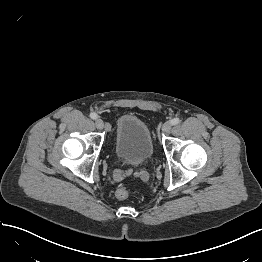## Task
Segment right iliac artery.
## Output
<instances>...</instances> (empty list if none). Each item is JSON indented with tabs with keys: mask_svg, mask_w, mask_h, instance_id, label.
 <instances>
[{
	"mask_svg": "<svg viewBox=\"0 0 262 262\" xmlns=\"http://www.w3.org/2000/svg\"><path fill=\"white\" fill-rule=\"evenodd\" d=\"M90 117L92 118V119H97V114L96 113H94V112H92L91 114H90Z\"/></svg>",
	"mask_w": 262,
	"mask_h": 262,
	"instance_id": "1",
	"label": "right iliac artery"
}]
</instances>
